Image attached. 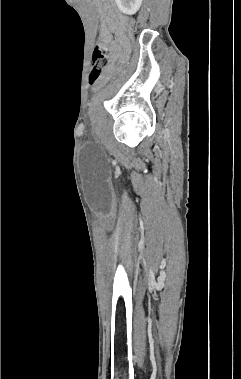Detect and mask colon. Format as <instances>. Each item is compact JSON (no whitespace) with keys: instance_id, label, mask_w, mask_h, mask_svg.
<instances>
[{"instance_id":"obj_1","label":"colon","mask_w":241,"mask_h":379,"mask_svg":"<svg viewBox=\"0 0 241 379\" xmlns=\"http://www.w3.org/2000/svg\"><path fill=\"white\" fill-rule=\"evenodd\" d=\"M125 33L127 40L130 43L138 42L135 23H128ZM92 57L94 66L89 74V83L94 85L98 83L103 77V70L108 62V51L104 45L98 44L93 50ZM119 69L121 71H124L126 69V66L124 64H121L119 66ZM105 83L107 86H112L114 82L112 79H107Z\"/></svg>"}]
</instances>
